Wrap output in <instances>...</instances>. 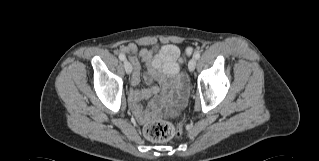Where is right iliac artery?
Here are the masks:
<instances>
[{"label":"right iliac artery","instance_id":"82829eb1","mask_svg":"<svg viewBox=\"0 0 319 161\" xmlns=\"http://www.w3.org/2000/svg\"><path fill=\"white\" fill-rule=\"evenodd\" d=\"M119 59H120L121 61H124L126 58H125V56H124L123 54H119Z\"/></svg>","mask_w":319,"mask_h":161}]
</instances>
